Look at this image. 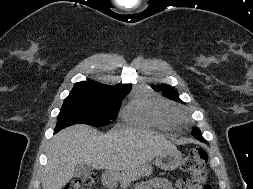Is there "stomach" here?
<instances>
[{"instance_id":"0dacf381","label":"stomach","mask_w":253,"mask_h":189,"mask_svg":"<svg viewBox=\"0 0 253 189\" xmlns=\"http://www.w3.org/2000/svg\"><path fill=\"white\" fill-rule=\"evenodd\" d=\"M182 160V154L177 148L165 150L158 156H156L155 164L163 170H174L176 169ZM119 172H107L103 176V182L105 184H114L122 178Z\"/></svg>"}]
</instances>
